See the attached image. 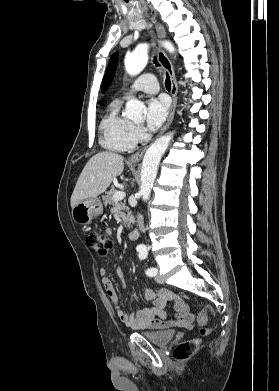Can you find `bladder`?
Masks as SVG:
<instances>
[{"label":"bladder","instance_id":"1","mask_svg":"<svg viewBox=\"0 0 279 391\" xmlns=\"http://www.w3.org/2000/svg\"><path fill=\"white\" fill-rule=\"evenodd\" d=\"M142 335L151 343L164 347L177 337V332L173 330L149 331L143 332Z\"/></svg>","mask_w":279,"mask_h":391}]
</instances>
